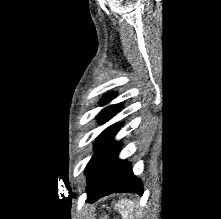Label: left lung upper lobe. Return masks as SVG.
I'll return each mask as SVG.
<instances>
[{"instance_id":"5c2ea615","label":"left lung upper lobe","mask_w":221,"mask_h":219,"mask_svg":"<svg viewBox=\"0 0 221 219\" xmlns=\"http://www.w3.org/2000/svg\"><path fill=\"white\" fill-rule=\"evenodd\" d=\"M114 96H115L114 94H109V95L105 96V98L102 101L103 104L108 103L112 98H114ZM120 109H121L120 104L108 106L98 114L97 118L101 122L107 121L109 118H111L113 115H115V113H117ZM113 127H114V125L108 127L98 136V138L96 140V145L100 143V141L109 133V131Z\"/></svg>"}]
</instances>
